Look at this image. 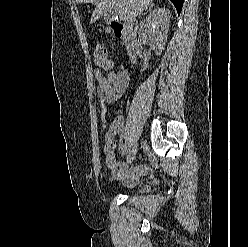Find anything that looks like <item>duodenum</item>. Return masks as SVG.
I'll return each mask as SVG.
<instances>
[{"label":"duodenum","mask_w":248,"mask_h":247,"mask_svg":"<svg viewBox=\"0 0 248 247\" xmlns=\"http://www.w3.org/2000/svg\"><path fill=\"white\" fill-rule=\"evenodd\" d=\"M105 18L119 32L131 60H134L138 44V23L133 20H116L110 14H107Z\"/></svg>","instance_id":"1"}]
</instances>
